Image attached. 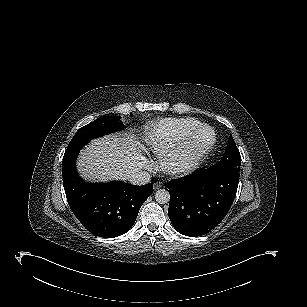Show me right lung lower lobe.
I'll return each instance as SVG.
<instances>
[{"label":"right lung lower lobe","mask_w":307,"mask_h":307,"mask_svg":"<svg viewBox=\"0 0 307 307\" xmlns=\"http://www.w3.org/2000/svg\"><path fill=\"white\" fill-rule=\"evenodd\" d=\"M78 151L66 152L62 165L64 190L74 215L96 236L114 238L126 233L152 193V184L87 183L75 169Z\"/></svg>","instance_id":"obj_1"}]
</instances>
